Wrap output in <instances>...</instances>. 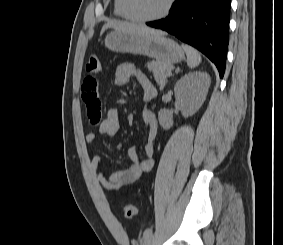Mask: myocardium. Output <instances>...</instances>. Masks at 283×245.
Here are the masks:
<instances>
[{"instance_id":"1","label":"myocardium","mask_w":283,"mask_h":245,"mask_svg":"<svg viewBox=\"0 0 283 245\" xmlns=\"http://www.w3.org/2000/svg\"><path fill=\"white\" fill-rule=\"evenodd\" d=\"M174 2H175V0H167L166 5L163 8V10L159 14H157L155 16H151V17H142V16H139V15H136L132 10L130 0H124V8H125L127 15L132 20L147 23V22H154V21H157V20H160V19L166 17L169 14V12L171 11V9L174 5Z\"/></svg>"}]
</instances>
